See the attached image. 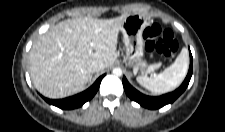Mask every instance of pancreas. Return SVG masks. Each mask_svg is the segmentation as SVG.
Segmentation results:
<instances>
[{
  "instance_id": "cf45deb5",
  "label": "pancreas",
  "mask_w": 225,
  "mask_h": 132,
  "mask_svg": "<svg viewBox=\"0 0 225 132\" xmlns=\"http://www.w3.org/2000/svg\"><path fill=\"white\" fill-rule=\"evenodd\" d=\"M153 66H154V65L150 66L149 70H152V67H153Z\"/></svg>"
}]
</instances>
